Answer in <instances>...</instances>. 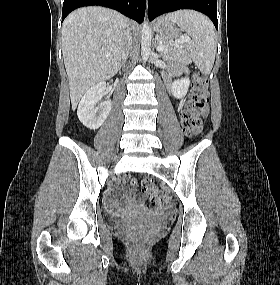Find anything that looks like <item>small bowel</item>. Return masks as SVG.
<instances>
[{
    "mask_svg": "<svg viewBox=\"0 0 280 285\" xmlns=\"http://www.w3.org/2000/svg\"><path fill=\"white\" fill-rule=\"evenodd\" d=\"M184 76H185V71H184V69H182V68H176V69L172 72V74L166 78V82H167L168 85H170L172 79H180V78H182V77H184ZM183 107H184V102H181V103L178 105V110L181 111V110L183 109Z\"/></svg>",
    "mask_w": 280,
    "mask_h": 285,
    "instance_id": "obj_1",
    "label": "small bowel"
}]
</instances>
